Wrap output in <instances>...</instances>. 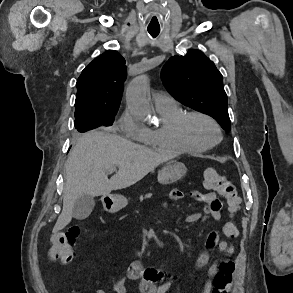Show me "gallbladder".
Instances as JSON below:
<instances>
[{
	"label": "gallbladder",
	"instance_id": "bac80fb5",
	"mask_svg": "<svg viewBox=\"0 0 293 293\" xmlns=\"http://www.w3.org/2000/svg\"><path fill=\"white\" fill-rule=\"evenodd\" d=\"M95 206L94 197L82 195L75 201L73 206V217L77 220L86 219Z\"/></svg>",
	"mask_w": 293,
	"mask_h": 293
}]
</instances>
